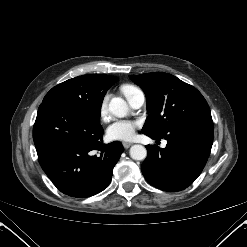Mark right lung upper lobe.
<instances>
[{"instance_id": "1", "label": "right lung upper lobe", "mask_w": 247, "mask_h": 247, "mask_svg": "<svg viewBox=\"0 0 247 247\" xmlns=\"http://www.w3.org/2000/svg\"><path fill=\"white\" fill-rule=\"evenodd\" d=\"M96 78L99 79L104 88L108 91V89L114 85L117 81V77L115 76H109V75H100V74H95Z\"/></svg>"}]
</instances>
